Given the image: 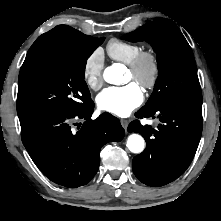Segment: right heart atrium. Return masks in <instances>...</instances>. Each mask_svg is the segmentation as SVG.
<instances>
[{
  "instance_id": "1",
  "label": "right heart atrium",
  "mask_w": 221,
  "mask_h": 221,
  "mask_svg": "<svg viewBox=\"0 0 221 221\" xmlns=\"http://www.w3.org/2000/svg\"><path fill=\"white\" fill-rule=\"evenodd\" d=\"M104 56L100 48L94 49L85 59L82 68L83 79L86 85L99 89L103 84Z\"/></svg>"
}]
</instances>
